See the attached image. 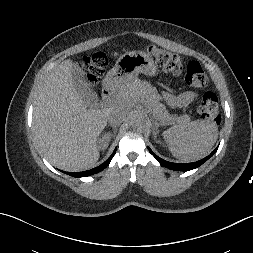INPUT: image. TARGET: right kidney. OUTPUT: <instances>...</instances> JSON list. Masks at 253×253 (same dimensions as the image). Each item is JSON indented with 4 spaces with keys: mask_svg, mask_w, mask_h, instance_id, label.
Wrapping results in <instances>:
<instances>
[{
    "mask_svg": "<svg viewBox=\"0 0 253 253\" xmlns=\"http://www.w3.org/2000/svg\"><path fill=\"white\" fill-rule=\"evenodd\" d=\"M110 141V134H104L102 138L99 140V148L102 150L106 149L108 147V143Z\"/></svg>",
    "mask_w": 253,
    "mask_h": 253,
    "instance_id": "right-kidney-1",
    "label": "right kidney"
}]
</instances>
